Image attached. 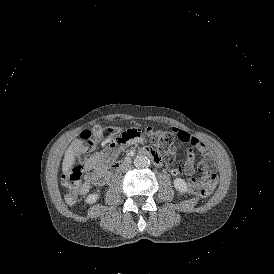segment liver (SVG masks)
<instances>
[{
	"mask_svg": "<svg viewBox=\"0 0 274 274\" xmlns=\"http://www.w3.org/2000/svg\"><path fill=\"white\" fill-rule=\"evenodd\" d=\"M74 146H75V143L73 142L65 154L64 162H63V171H66L72 164L73 158L75 156V153L72 151Z\"/></svg>",
	"mask_w": 274,
	"mask_h": 274,
	"instance_id": "obj_1",
	"label": "liver"
}]
</instances>
